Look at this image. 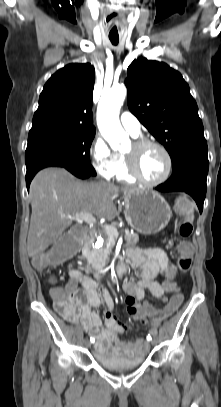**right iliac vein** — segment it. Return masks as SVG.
<instances>
[{
  "label": "right iliac vein",
  "instance_id": "right-iliac-vein-1",
  "mask_svg": "<svg viewBox=\"0 0 221 407\" xmlns=\"http://www.w3.org/2000/svg\"><path fill=\"white\" fill-rule=\"evenodd\" d=\"M84 345H85L86 347H89V346H90V342H89V340H88L87 338L84 340Z\"/></svg>",
  "mask_w": 221,
  "mask_h": 407
}]
</instances>
